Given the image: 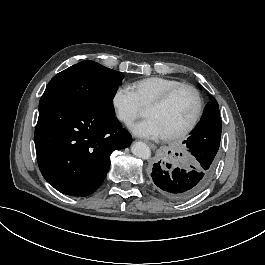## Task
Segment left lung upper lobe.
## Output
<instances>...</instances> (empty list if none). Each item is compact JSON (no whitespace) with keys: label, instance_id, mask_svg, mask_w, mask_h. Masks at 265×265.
Segmentation results:
<instances>
[{"label":"left lung upper lobe","instance_id":"5c2ea615","mask_svg":"<svg viewBox=\"0 0 265 265\" xmlns=\"http://www.w3.org/2000/svg\"><path fill=\"white\" fill-rule=\"evenodd\" d=\"M221 131L222 124L218 103L214 97H211V102L205 107L201 120L191 132V136L183 143L186 142L189 151L201 147L195 146V144L205 145L209 149L217 150L220 145Z\"/></svg>","mask_w":265,"mask_h":265}]
</instances>
